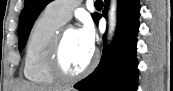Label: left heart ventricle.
Returning <instances> with one entry per match:
<instances>
[{"label":"left heart ventricle","mask_w":173,"mask_h":91,"mask_svg":"<svg viewBox=\"0 0 173 91\" xmlns=\"http://www.w3.org/2000/svg\"><path fill=\"white\" fill-rule=\"evenodd\" d=\"M93 50L85 47L78 37L76 30L67 32L61 52L64 68L71 73L83 70L91 60Z\"/></svg>","instance_id":"left-heart-ventricle-1"}]
</instances>
